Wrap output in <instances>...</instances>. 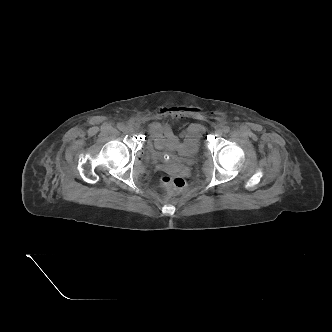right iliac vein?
<instances>
[{
  "label": "right iliac vein",
  "mask_w": 332,
  "mask_h": 332,
  "mask_svg": "<svg viewBox=\"0 0 332 332\" xmlns=\"http://www.w3.org/2000/svg\"><path fill=\"white\" fill-rule=\"evenodd\" d=\"M124 131H125L126 133H132V132H133V128H132L131 126H126V127L124 128Z\"/></svg>",
  "instance_id": "1"
}]
</instances>
